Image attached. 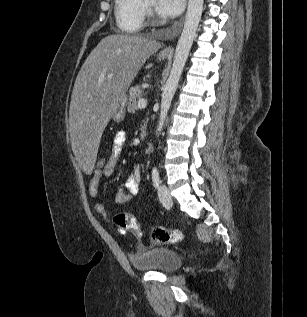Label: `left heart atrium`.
I'll list each match as a JSON object with an SVG mask.
<instances>
[{
  "instance_id": "1",
  "label": "left heart atrium",
  "mask_w": 307,
  "mask_h": 317,
  "mask_svg": "<svg viewBox=\"0 0 307 317\" xmlns=\"http://www.w3.org/2000/svg\"><path fill=\"white\" fill-rule=\"evenodd\" d=\"M185 0H155L156 11L166 17L179 15L184 8Z\"/></svg>"
}]
</instances>
